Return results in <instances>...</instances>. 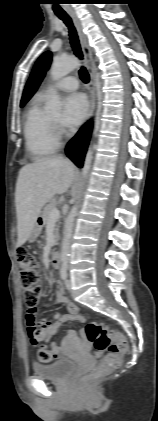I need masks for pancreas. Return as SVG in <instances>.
<instances>
[{"instance_id":"cf45deb5","label":"pancreas","mask_w":158,"mask_h":421,"mask_svg":"<svg viewBox=\"0 0 158 421\" xmlns=\"http://www.w3.org/2000/svg\"><path fill=\"white\" fill-rule=\"evenodd\" d=\"M55 208H56V202L55 201H50L44 206L43 211H42V217H43L44 224H47V222L50 220V213ZM55 237H56V239H58V226H56V228H55Z\"/></svg>"}]
</instances>
